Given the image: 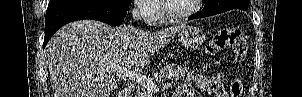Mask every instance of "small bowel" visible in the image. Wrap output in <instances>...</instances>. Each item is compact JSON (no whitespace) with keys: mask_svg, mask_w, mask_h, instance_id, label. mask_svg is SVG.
Segmentation results:
<instances>
[{"mask_svg":"<svg viewBox=\"0 0 302 97\" xmlns=\"http://www.w3.org/2000/svg\"><path fill=\"white\" fill-rule=\"evenodd\" d=\"M210 94L213 97H230L225 87L223 74L213 75L189 74L178 88L174 97H195V89Z\"/></svg>","mask_w":302,"mask_h":97,"instance_id":"obj_1","label":"small bowel"}]
</instances>
